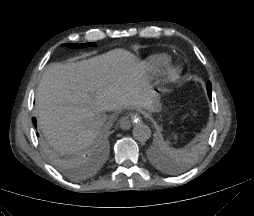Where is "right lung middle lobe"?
<instances>
[{
    "mask_svg": "<svg viewBox=\"0 0 254 216\" xmlns=\"http://www.w3.org/2000/svg\"><path fill=\"white\" fill-rule=\"evenodd\" d=\"M64 46L70 47V48H83L91 45H95L94 43H87V44H63ZM51 160L58 163V159L52 155H49Z\"/></svg>",
    "mask_w": 254,
    "mask_h": 216,
    "instance_id": "obj_1",
    "label": "right lung middle lobe"
}]
</instances>
